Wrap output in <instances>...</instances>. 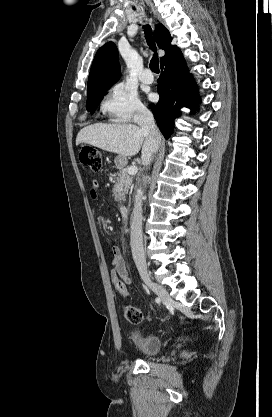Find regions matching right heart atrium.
<instances>
[{"label":"right heart atrium","instance_id":"1","mask_svg":"<svg viewBox=\"0 0 272 417\" xmlns=\"http://www.w3.org/2000/svg\"><path fill=\"white\" fill-rule=\"evenodd\" d=\"M102 109L112 121L119 123L137 120L148 112L137 91L124 82H117L110 88Z\"/></svg>","mask_w":272,"mask_h":417}]
</instances>
